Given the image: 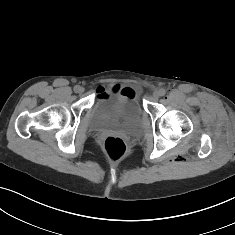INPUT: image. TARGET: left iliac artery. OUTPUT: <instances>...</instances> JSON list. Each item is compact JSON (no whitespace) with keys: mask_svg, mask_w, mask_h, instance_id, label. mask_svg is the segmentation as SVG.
<instances>
[{"mask_svg":"<svg viewBox=\"0 0 235 235\" xmlns=\"http://www.w3.org/2000/svg\"><path fill=\"white\" fill-rule=\"evenodd\" d=\"M160 94H161V96H164L166 94L165 89H160Z\"/></svg>","mask_w":235,"mask_h":235,"instance_id":"44dca946","label":"left iliac artery"}]
</instances>
